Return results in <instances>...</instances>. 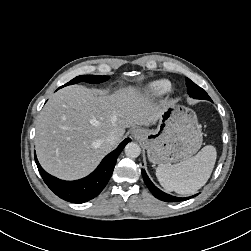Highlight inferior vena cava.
<instances>
[{
	"label": "inferior vena cava",
	"instance_id": "obj_1",
	"mask_svg": "<svg viewBox=\"0 0 251 251\" xmlns=\"http://www.w3.org/2000/svg\"><path fill=\"white\" fill-rule=\"evenodd\" d=\"M118 136L116 133H111L107 137V142L111 145H115L117 142Z\"/></svg>",
	"mask_w": 251,
	"mask_h": 251
}]
</instances>
